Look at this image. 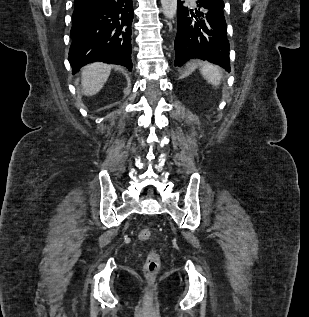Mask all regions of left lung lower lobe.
Segmentation results:
<instances>
[{
    "label": "left lung lower lobe",
    "instance_id": "obj_1",
    "mask_svg": "<svg viewBox=\"0 0 309 317\" xmlns=\"http://www.w3.org/2000/svg\"><path fill=\"white\" fill-rule=\"evenodd\" d=\"M175 66L199 58L230 71L229 41L221 0H197L190 9L184 1L177 5V34L174 42Z\"/></svg>",
    "mask_w": 309,
    "mask_h": 317
}]
</instances>
